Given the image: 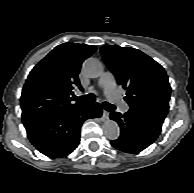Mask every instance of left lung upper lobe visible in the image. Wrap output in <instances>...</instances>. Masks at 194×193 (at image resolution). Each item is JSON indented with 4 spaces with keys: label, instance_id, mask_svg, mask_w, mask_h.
I'll list each match as a JSON object with an SVG mask.
<instances>
[{
    "label": "left lung upper lobe",
    "instance_id": "5c2ea615",
    "mask_svg": "<svg viewBox=\"0 0 194 193\" xmlns=\"http://www.w3.org/2000/svg\"><path fill=\"white\" fill-rule=\"evenodd\" d=\"M102 57L127 89L124 98L130 110L164 120L169 109L171 87L164 68L140 50L105 45Z\"/></svg>",
    "mask_w": 194,
    "mask_h": 193
}]
</instances>
